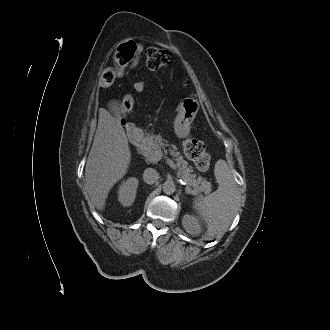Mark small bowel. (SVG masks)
<instances>
[{
	"instance_id": "1",
	"label": "small bowel",
	"mask_w": 330,
	"mask_h": 330,
	"mask_svg": "<svg viewBox=\"0 0 330 330\" xmlns=\"http://www.w3.org/2000/svg\"><path fill=\"white\" fill-rule=\"evenodd\" d=\"M135 46H136L135 54H134L132 61L126 67L120 68L117 71L118 78H123V77L128 76L130 74V72L133 69H135L137 67V65L139 64L142 49H141V46L137 45L136 43H135ZM144 88H145V82L143 80H138L133 84V89L137 93H141L144 90Z\"/></svg>"
}]
</instances>
